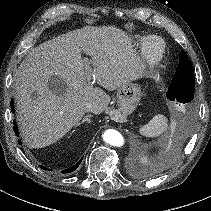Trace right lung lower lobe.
Returning <instances> with one entry per match:
<instances>
[{
	"instance_id": "1",
	"label": "right lung lower lobe",
	"mask_w": 211,
	"mask_h": 211,
	"mask_svg": "<svg viewBox=\"0 0 211 211\" xmlns=\"http://www.w3.org/2000/svg\"><path fill=\"white\" fill-rule=\"evenodd\" d=\"M13 105H14V104H13V100H11L12 112H14ZM14 131H15L16 135L18 136V129H17V126H16V124H15V121H14ZM19 144H21L20 141H19ZM82 159H83V158H81V159L79 160V162H77L74 166H72V167H70V168H68V169H66V170H63L62 173H70V172H73L74 170H76V169L78 168V166L80 165ZM40 167H41L42 169H46V168L43 167L42 165H40Z\"/></svg>"
}]
</instances>
